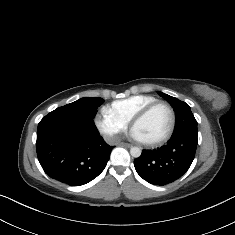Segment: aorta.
Segmentation results:
<instances>
[{
    "label": "aorta",
    "instance_id": "obj_1",
    "mask_svg": "<svg viewBox=\"0 0 235 235\" xmlns=\"http://www.w3.org/2000/svg\"><path fill=\"white\" fill-rule=\"evenodd\" d=\"M130 154L134 158H138L141 156V150L138 147H131Z\"/></svg>",
    "mask_w": 235,
    "mask_h": 235
}]
</instances>
